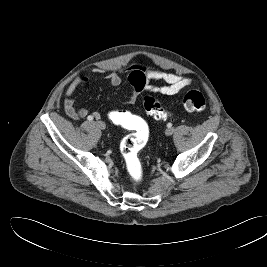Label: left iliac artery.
Here are the masks:
<instances>
[{
    "instance_id": "left-iliac-artery-1",
    "label": "left iliac artery",
    "mask_w": 267,
    "mask_h": 267,
    "mask_svg": "<svg viewBox=\"0 0 267 267\" xmlns=\"http://www.w3.org/2000/svg\"><path fill=\"white\" fill-rule=\"evenodd\" d=\"M167 127H168V128H171V127H172V123H168V124H167Z\"/></svg>"
}]
</instances>
